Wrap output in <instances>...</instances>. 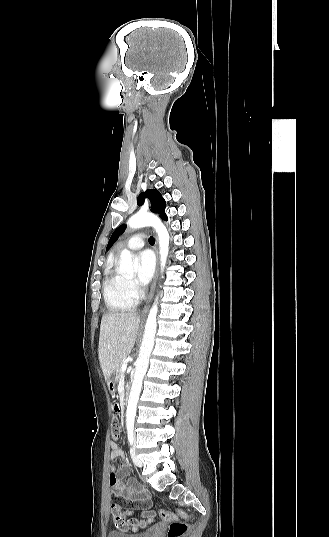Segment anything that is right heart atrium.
Masks as SVG:
<instances>
[{"mask_svg":"<svg viewBox=\"0 0 329 537\" xmlns=\"http://www.w3.org/2000/svg\"><path fill=\"white\" fill-rule=\"evenodd\" d=\"M126 288H127V291L128 293L134 298V299H137L138 298V295H139V288L138 286L136 285V283L131 280V279H127L126 280Z\"/></svg>","mask_w":329,"mask_h":537,"instance_id":"1","label":"right heart atrium"}]
</instances>
